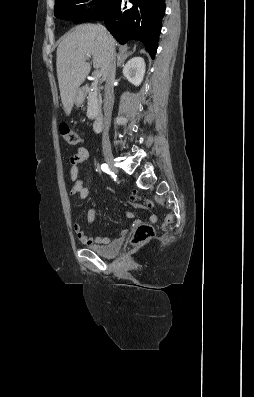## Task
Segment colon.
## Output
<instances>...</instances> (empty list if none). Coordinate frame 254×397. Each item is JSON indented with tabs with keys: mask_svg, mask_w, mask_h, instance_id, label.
<instances>
[{
	"mask_svg": "<svg viewBox=\"0 0 254 397\" xmlns=\"http://www.w3.org/2000/svg\"><path fill=\"white\" fill-rule=\"evenodd\" d=\"M60 133L64 140L71 145H78L80 142L79 135L72 130L66 123L60 124ZM133 197L137 200L140 199L138 194H133ZM144 205L147 208H153L154 204L150 200H145ZM170 221L169 218L166 219L165 225L168 224ZM155 235V229L152 225L149 224H141L139 225L133 232L131 236V244L132 245H142L149 240H151Z\"/></svg>",
	"mask_w": 254,
	"mask_h": 397,
	"instance_id": "1",
	"label": "colon"
}]
</instances>
